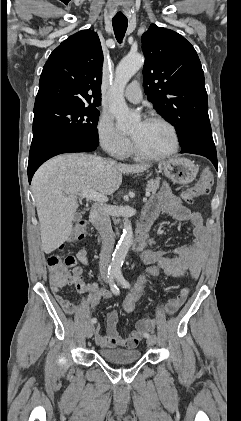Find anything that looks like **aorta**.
Returning <instances> with one entry per match:
<instances>
[{"mask_svg":"<svg viewBox=\"0 0 241 421\" xmlns=\"http://www.w3.org/2000/svg\"><path fill=\"white\" fill-rule=\"evenodd\" d=\"M144 58L140 54L127 55L116 68L115 79L111 86L110 111L117 121V127L126 130L139 120V116L132 113L124 99V89L129 80L143 66ZM123 233L113 253L112 266L120 267L131 247L133 240L132 225L127 216L123 219Z\"/></svg>","mask_w":241,"mask_h":421,"instance_id":"1","label":"aorta"}]
</instances>
